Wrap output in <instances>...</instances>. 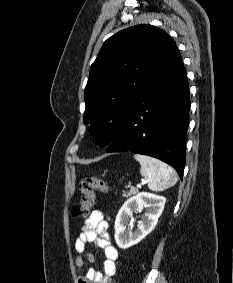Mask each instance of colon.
<instances>
[{
	"label": "colon",
	"mask_w": 233,
	"mask_h": 283,
	"mask_svg": "<svg viewBox=\"0 0 233 283\" xmlns=\"http://www.w3.org/2000/svg\"><path fill=\"white\" fill-rule=\"evenodd\" d=\"M80 192V200L77 205L72 208V215L74 217L86 216L95 202V192L100 191L107 193L110 189L108 183L98 177L85 176L78 185Z\"/></svg>",
	"instance_id": "1"
}]
</instances>
